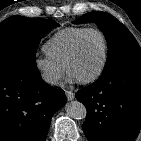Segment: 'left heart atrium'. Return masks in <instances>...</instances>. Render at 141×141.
<instances>
[{"label":"left heart atrium","instance_id":"1","mask_svg":"<svg viewBox=\"0 0 141 141\" xmlns=\"http://www.w3.org/2000/svg\"><path fill=\"white\" fill-rule=\"evenodd\" d=\"M78 81H79V79L73 73L69 72L68 77H67V82L68 83H75Z\"/></svg>","mask_w":141,"mask_h":141}]
</instances>
